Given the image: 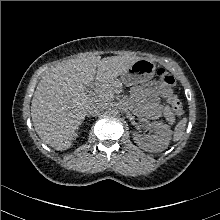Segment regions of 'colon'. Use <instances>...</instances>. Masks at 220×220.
<instances>
[{
    "instance_id": "5ec220e1",
    "label": "colon",
    "mask_w": 220,
    "mask_h": 220,
    "mask_svg": "<svg viewBox=\"0 0 220 220\" xmlns=\"http://www.w3.org/2000/svg\"><path fill=\"white\" fill-rule=\"evenodd\" d=\"M157 75L160 78L161 84L169 90V93L167 95V100L170 103L173 112L175 115L181 119L184 116V109L182 102L178 99V97L174 94L172 87L175 84L174 77L168 73L165 69H158Z\"/></svg>"
}]
</instances>
